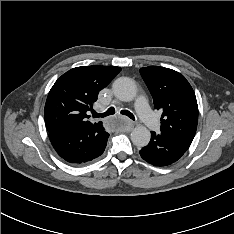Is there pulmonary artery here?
Instances as JSON below:
<instances>
[{
    "label": "pulmonary artery",
    "instance_id": "pulmonary-artery-1",
    "mask_svg": "<svg viewBox=\"0 0 234 234\" xmlns=\"http://www.w3.org/2000/svg\"><path fill=\"white\" fill-rule=\"evenodd\" d=\"M137 112L142 119L145 127L149 130L155 129L158 127V121L155 118L154 114L150 110L147 100L144 96H140L136 101Z\"/></svg>",
    "mask_w": 234,
    "mask_h": 234
}]
</instances>
